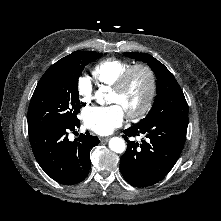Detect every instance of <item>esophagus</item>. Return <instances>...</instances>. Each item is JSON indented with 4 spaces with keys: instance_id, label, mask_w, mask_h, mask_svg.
Wrapping results in <instances>:
<instances>
[{
    "instance_id": "esophagus-1",
    "label": "esophagus",
    "mask_w": 221,
    "mask_h": 221,
    "mask_svg": "<svg viewBox=\"0 0 221 221\" xmlns=\"http://www.w3.org/2000/svg\"><path fill=\"white\" fill-rule=\"evenodd\" d=\"M99 139L101 142H107L109 140L108 137H100Z\"/></svg>"
}]
</instances>
